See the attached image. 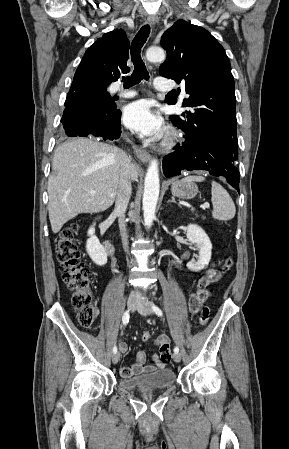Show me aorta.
I'll list each match as a JSON object with an SVG mask.
<instances>
[{
	"label": "aorta",
	"mask_w": 289,
	"mask_h": 449,
	"mask_svg": "<svg viewBox=\"0 0 289 449\" xmlns=\"http://www.w3.org/2000/svg\"><path fill=\"white\" fill-rule=\"evenodd\" d=\"M165 52L162 48L151 47L146 52V58L150 62H162L165 60ZM160 181L157 160H152L145 176L143 194L144 222L147 228L152 226L155 218V210L159 197Z\"/></svg>",
	"instance_id": "obj_1"
}]
</instances>
